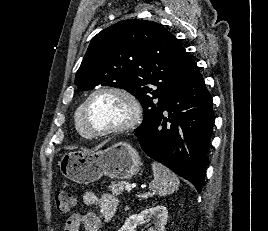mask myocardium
Masks as SVG:
<instances>
[{"label":"myocardium","instance_id":"1","mask_svg":"<svg viewBox=\"0 0 268 231\" xmlns=\"http://www.w3.org/2000/svg\"><path fill=\"white\" fill-rule=\"evenodd\" d=\"M102 93L114 94L122 98L129 105L130 114L128 119L123 124L109 129L96 131L90 127L87 113L92 99ZM81 113L83 125L86 129L88 137H109L121 135L134 129L142 119V107L138 99L131 92L115 86H104L92 91L85 99L82 105Z\"/></svg>","mask_w":268,"mask_h":231}]
</instances>
